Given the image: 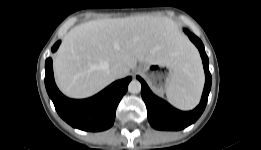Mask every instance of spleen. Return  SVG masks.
Wrapping results in <instances>:
<instances>
[{
	"instance_id": "spleen-1",
	"label": "spleen",
	"mask_w": 261,
	"mask_h": 150,
	"mask_svg": "<svg viewBox=\"0 0 261 150\" xmlns=\"http://www.w3.org/2000/svg\"><path fill=\"white\" fill-rule=\"evenodd\" d=\"M204 75L197 54L166 87L169 102L181 110H191L199 103Z\"/></svg>"
}]
</instances>
